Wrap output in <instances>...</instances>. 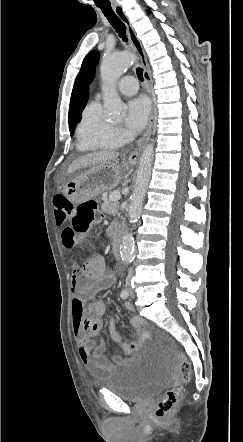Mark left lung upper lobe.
Returning <instances> with one entry per match:
<instances>
[{
	"label": "left lung upper lobe",
	"instance_id": "5c2ea615",
	"mask_svg": "<svg viewBox=\"0 0 243 442\" xmlns=\"http://www.w3.org/2000/svg\"><path fill=\"white\" fill-rule=\"evenodd\" d=\"M99 60V52L97 51H91L84 59L83 63H82V67L81 70L86 69L87 73H88V78L89 80H91L94 77V69L95 66L97 64ZM88 99V92L85 94L84 96V100L83 103L81 104V108L78 114V120L80 119V114L81 111L83 110V108L85 107V104L87 102Z\"/></svg>",
	"mask_w": 243,
	"mask_h": 442
}]
</instances>
